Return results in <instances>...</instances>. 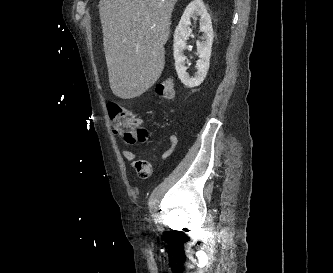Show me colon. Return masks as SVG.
<instances>
[{
  "instance_id": "1",
  "label": "colon",
  "mask_w": 333,
  "mask_h": 273,
  "mask_svg": "<svg viewBox=\"0 0 333 273\" xmlns=\"http://www.w3.org/2000/svg\"><path fill=\"white\" fill-rule=\"evenodd\" d=\"M159 98L165 101H171L174 98L173 81L170 78L157 83L155 88ZM109 113L114 132L127 143L133 144L143 142L147 137V132L138 122L133 112L119 106L118 104H109ZM134 168L140 178L146 179L151 174V164L146 160H137Z\"/></svg>"
}]
</instances>
